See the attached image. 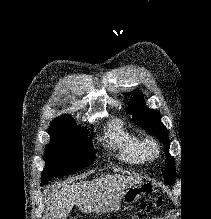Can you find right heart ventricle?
Segmentation results:
<instances>
[{
    "label": "right heart ventricle",
    "instance_id": "e07e8e85",
    "mask_svg": "<svg viewBox=\"0 0 211 219\" xmlns=\"http://www.w3.org/2000/svg\"><path fill=\"white\" fill-rule=\"evenodd\" d=\"M108 139L110 146L123 162L130 165H142L146 162L141 150L140 137L127 130L119 120L109 125Z\"/></svg>",
    "mask_w": 211,
    "mask_h": 219
}]
</instances>
